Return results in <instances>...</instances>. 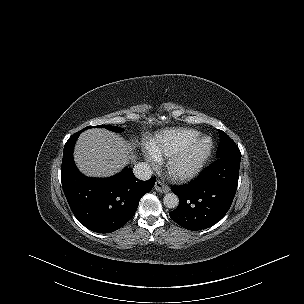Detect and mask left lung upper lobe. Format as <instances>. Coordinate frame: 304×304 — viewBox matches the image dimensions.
I'll list each match as a JSON object with an SVG mask.
<instances>
[{
    "mask_svg": "<svg viewBox=\"0 0 304 304\" xmlns=\"http://www.w3.org/2000/svg\"><path fill=\"white\" fill-rule=\"evenodd\" d=\"M219 131L220 145L217 149V157L220 158L229 154H240V150L235 142L222 130Z\"/></svg>",
    "mask_w": 304,
    "mask_h": 304,
    "instance_id": "obj_1",
    "label": "left lung upper lobe"
}]
</instances>
